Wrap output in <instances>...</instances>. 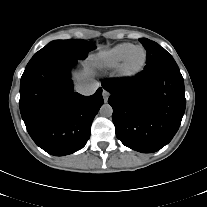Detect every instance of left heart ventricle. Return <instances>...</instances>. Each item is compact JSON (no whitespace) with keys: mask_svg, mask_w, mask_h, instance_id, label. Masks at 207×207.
<instances>
[{"mask_svg":"<svg viewBox=\"0 0 207 207\" xmlns=\"http://www.w3.org/2000/svg\"><path fill=\"white\" fill-rule=\"evenodd\" d=\"M142 60H143V52L142 50L137 49L132 53L128 65L131 68L137 67L141 64Z\"/></svg>","mask_w":207,"mask_h":207,"instance_id":"1","label":"left heart ventricle"}]
</instances>
